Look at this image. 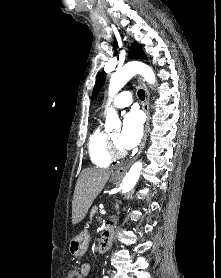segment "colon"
Returning <instances> with one entry per match:
<instances>
[{
	"instance_id": "1",
	"label": "colon",
	"mask_w": 221,
	"mask_h": 278,
	"mask_svg": "<svg viewBox=\"0 0 221 278\" xmlns=\"http://www.w3.org/2000/svg\"><path fill=\"white\" fill-rule=\"evenodd\" d=\"M65 278H83V274L79 268L70 267L66 271Z\"/></svg>"
}]
</instances>
